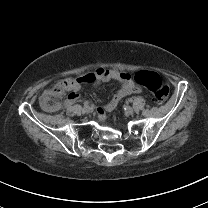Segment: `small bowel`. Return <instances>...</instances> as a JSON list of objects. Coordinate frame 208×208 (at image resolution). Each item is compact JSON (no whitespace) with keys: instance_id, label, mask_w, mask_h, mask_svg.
<instances>
[{"instance_id":"small-bowel-1","label":"small bowel","mask_w":208,"mask_h":208,"mask_svg":"<svg viewBox=\"0 0 208 208\" xmlns=\"http://www.w3.org/2000/svg\"><path fill=\"white\" fill-rule=\"evenodd\" d=\"M67 79L70 80L73 87V92L71 93L70 97L66 100L67 106H70L75 103V100L77 99V94L75 92L76 89L80 88L84 84L93 83L94 81H105L109 79H114L121 82L122 84L121 89L118 90L112 97V99L102 107L105 111H111L115 109L122 99H124L130 94L137 93L139 91L138 87L134 85V83L132 82V79L129 74L113 71L102 66L97 67L94 71L82 75L80 77ZM102 108H95V115H102Z\"/></svg>"}]
</instances>
